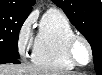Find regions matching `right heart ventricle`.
Listing matches in <instances>:
<instances>
[{
	"instance_id": "right-heart-ventricle-1",
	"label": "right heart ventricle",
	"mask_w": 102,
	"mask_h": 75,
	"mask_svg": "<svg viewBox=\"0 0 102 75\" xmlns=\"http://www.w3.org/2000/svg\"><path fill=\"white\" fill-rule=\"evenodd\" d=\"M76 34L69 18L56 8L43 15L31 51L35 63L68 69L74 66L66 50L68 39Z\"/></svg>"
}]
</instances>
